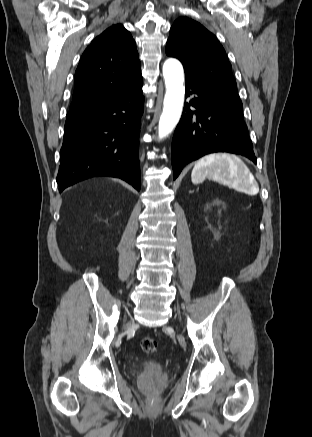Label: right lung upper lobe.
<instances>
[{
    "mask_svg": "<svg viewBox=\"0 0 312 437\" xmlns=\"http://www.w3.org/2000/svg\"><path fill=\"white\" fill-rule=\"evenodd\" d=\"M139 77L141 65L135 41L122 25L111 26L92 41L80 59L67 115L113 97Z\"/></svg>",
    "mask_w": 312,
    "mask_h": 437,
    "instance_id": "1",
    "label": "right lung upper lobe"
}]
</instances>
